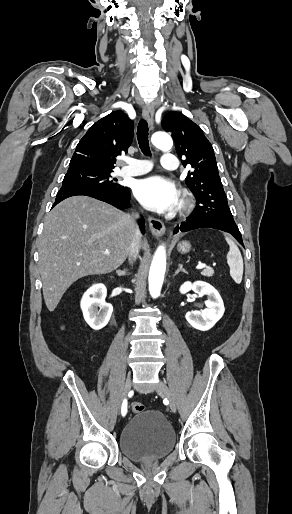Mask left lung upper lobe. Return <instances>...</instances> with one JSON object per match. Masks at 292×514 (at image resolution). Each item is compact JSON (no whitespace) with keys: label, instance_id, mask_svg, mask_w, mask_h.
I'll return each instance as SVG.
<instances>
[{"label":"left lung upper lobe","instance_id":"5c2ea615","mask_svg":"<svg viewBox=\"0 0 292 514\" xmlns=\"http://www.w3.org/2000/svg\"><path fill=\"white\" fill-rule=\"evenodd\" d=\"M162 127L172 133L183 166L192 168L185 182L197 200L194 212L201 218L234 221L219 177L213 147L200 127L176 111L164 116Z\"/></svg>","mask_w":292,"mask_h":514}]
</instances>
